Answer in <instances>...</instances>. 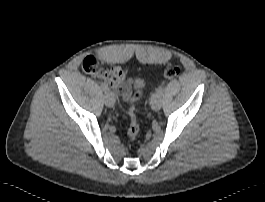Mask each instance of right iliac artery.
I'll list each match as a JSON object with an SVG mask.
<instances>
[{
  "label": "right iliac artery",
  "mask_w": 265,
  "mask_h": 202,
  "mask_svg": "<svg viewBox=\"0 0 265 202\" xmlns=\"http://www.w3.org/2000/svg\"><path fill=\"white\" fill-rule=\"evenodd\" d=\"M100 87H101L102 91H104V92H107L109 90L107 84H105V83H101Z\"/></svg>",
  "instance_id": "right-iliac-artery-1"
}]
</instances>
